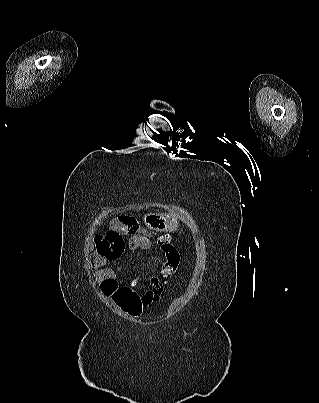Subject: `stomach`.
Listing matches in <instances>:
<instances>
[{"label":"stomach","instance_id":"1","mask_svg":"<svg viewBox=\"0 0 319 403\" xmlns=\"http://www.w3.org/2000/svg\"><path fill=\"white\" fill-rule=\"evenodd\" d=\"M144 222L153 231L172 232L178 228L177 218L171 213H150L145 215Z\"/></svg>","mask_w":319,"mask_h":403}]
</instances>
